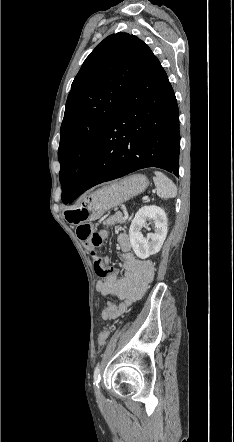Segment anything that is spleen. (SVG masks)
<instances>
[{"label":"spleen","instance_id":"obj_1","mask_svg":"<svg viewBox=\"0 0 234 442\" xmlns=\"http://www.w3.org/2000/svg\"><path fill=\"white\" fill-rule=\"evenodd\" d=\"M154 174V183L157 188V195L164 199L176 197L177 188L173 181L160 171H155Z\"/></svg>","mask_w":234,"mask_h":442}]
</instances>
